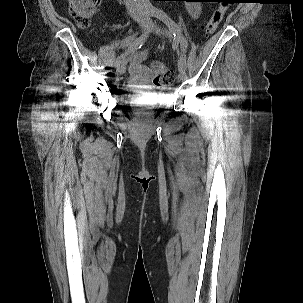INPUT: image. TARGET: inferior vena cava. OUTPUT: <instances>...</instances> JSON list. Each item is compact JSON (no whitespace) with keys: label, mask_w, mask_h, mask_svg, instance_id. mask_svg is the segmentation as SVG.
<instances>
[{"label":"inferior vena cava","mask_w":303,"mask_h":303,"mask_svg":"<svg viewBox=\"0 0 303 303\" xmlns=\"http://www.w3.org/2000/svg\"><path fill=\"white\" fill-rule=\"evenodd\" d=\"M124 4L126 6L128 14L133 19L136 20L142 17V12L139 9L138 5L136 4V0H124Z\"/></svg>","instance_id":"obj_1"}]
</instances>
